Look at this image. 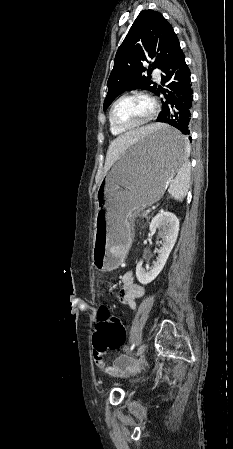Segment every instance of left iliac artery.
<instances>
[{"label":"left iliac artery","mask_w":233,"mask_h":449,"mask_svg":"<svg viewBox=\"0 0 233 449\" xmlns=\"http://www.w3.org/2000/svg\"><path fill=\"white\" fill-rule=\"evenodd\" d=\"M135 348V344H132L130 350L132 351Z\"/></svg>","instance_id":"obj_1"}]
</instances>
